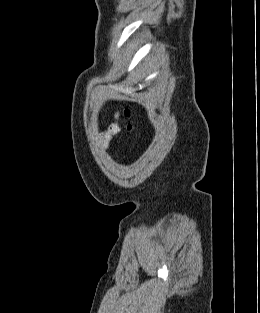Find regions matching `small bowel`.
Segmentation results:
<instances>
[{
  "label": "small bowel",
  "instance_id": "small-bowel-1",
  "mask_svg": "<svg viewBox=\"0 0 260 313\" xmlns=\"http://www.w3.org/2000/svg\"><path fill=\"white\" fill-rule=\"evenodd\" d=\"M118 115L115 114V118L117 119ZM120 131V125L119 123L117 122V120L112 123L109 128L105 131V133L103 134V137H102V146L103 148H107L108 147V144L111 140V138L118 134V132Z\"/></svg>",
  "mask_w": 260,
  "mask_h": 313
}]
</instances>
